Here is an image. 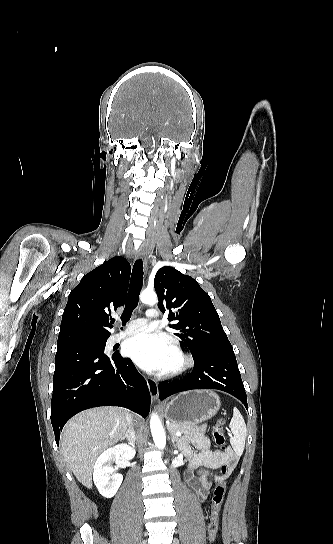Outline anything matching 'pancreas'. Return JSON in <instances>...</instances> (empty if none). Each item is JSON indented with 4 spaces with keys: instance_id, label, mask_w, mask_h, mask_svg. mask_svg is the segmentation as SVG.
Listing matches in <instances>:
<instances>
[{
    "instance_id": "1",
    "label": "pancreas",
    "mask_w": 333,
    "mask_h": 544,
    "mask_svg": "<svg viewBox=\"0 0 333 544\" xmlns=\"http://www.w3.org/2000/svg\"><path fill=\"white\" fill-rule=\"evenodd\" d=\"M167 428L170 433L181 432L184 435H195L199 431L196 426H186L176 422L169 423Z\"/></svg>"
}]
</instances>
